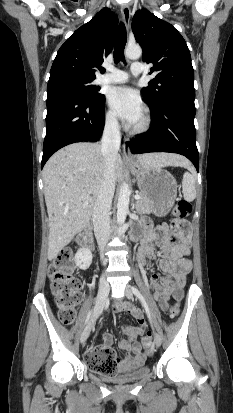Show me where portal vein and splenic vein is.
I'll use <instances>...</instances> for the list:
<instances>
[{
  "instance_id": "1",
  "label": "portal vein and splenic vein",
  "mask_w": 233,
  "mask_h": 413,
  "mask_svg": "<svg viewBox=\"0 0 233 413\" xmlns=\"http://www.w3.org/2000/svg\"><path fill=\"white\" fill-rule=\"evenodd\" d=\"M134 198H135V200H139L140 199V195L139 194H136L135 196H134ZM86 204L88 203V202H85Z\"/></svg>"
}]
</instances>
